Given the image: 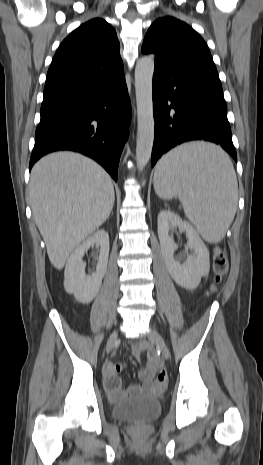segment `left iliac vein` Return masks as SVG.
Segmentation results:
<instances>
[{
  "label": "left iliac vein",
  "instance_id": "4c4485c4",
  "mask_svg": "<svg viewBox=\"0 0 263 465\" xmlns=\"http://www.w3.org/2000/svg\"><path fill=\"white\" fill-rule=\"evenodd\" d=\"M148 339L160 349L162 356L166 360L169 359V357H170L169 349H168L163 337L161 336V334L157 330L152 329L148 333Z\"/></svg>",
  "mask_w": 263,
  "mask_h": 465
}]
</instances>
